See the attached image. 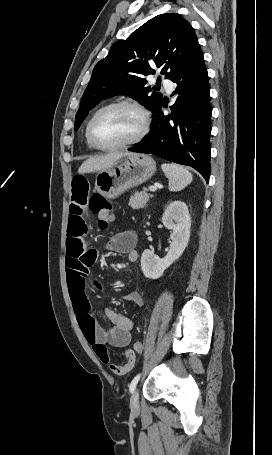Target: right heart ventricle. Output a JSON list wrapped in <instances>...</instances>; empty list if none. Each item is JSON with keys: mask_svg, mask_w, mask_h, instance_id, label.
Segmentation results:
<instances>
[{"mask_svg": "<svg viewBox=\"0 0 272 455\" xmlns=\"http://www.w3.org/2000/svg\"><path fill=\"white\" fill-rule=\"evenodd\" d=\"M85 138H86V144H87L88 149L94 150L95 148L90 144V142H89V140H88V136H87V127H86V130H85Z\"/></svg>", "mask_w": 272, "mask_h": 455, "instance_id": "e07e8e85", "label": "right heart ventricle"}]
</instances>
